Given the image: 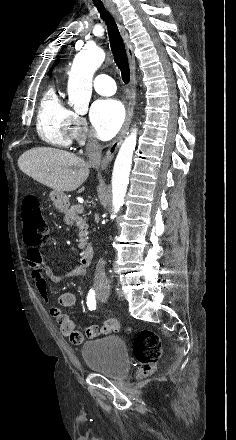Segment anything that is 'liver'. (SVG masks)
I'll use <instances>...</instances> for the list:
<instances>
[{"mask_svg":"<svg viewBox=\"0 0 236 440\" xmlns=\"http://www.w3.org/2000/svg\"><path fill=\"white\" fill-rule=\"evenodd\" d=\"M20 170L37 182L57 191L78 189L89 175L90 165L73 153L51 148L35 147L18 159ZM84 187L78 193L84 191Z\"/></svg>","mask_w":236,"mask_h":440,"instance_id":"6515ba94","label":"liver"}]
</instances>
